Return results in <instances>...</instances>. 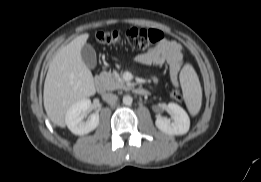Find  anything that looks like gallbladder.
<instances>
[{"label":"gallbladder","instance_id":"1","mask_svg":"<svg viewBox=\"0 0 261 182\" xmlns=\"http://www.w3.org/2000/svg\"><path fill=\"white\" fill-rule=\"evenodd\" d=\"M81 57L89 69H94L97 64L96 52L90 44H84L81 49Z\"/></svg>","mask_w":261,"mask_h":182}]
</instances>
